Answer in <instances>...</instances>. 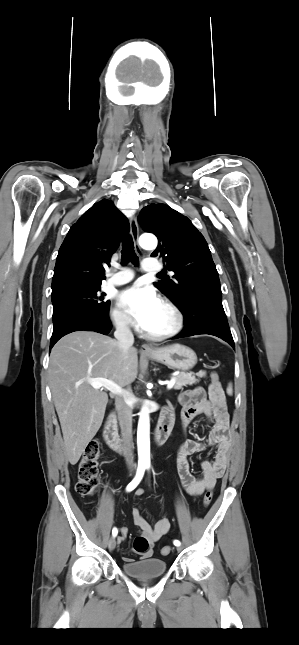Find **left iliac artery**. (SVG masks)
<instances>
[{"mask_svg": "<svg viewBox=\"0 0 299 645\" xmlns=\"http://www.w3.org/2000/svg\"><path fill=\"white\" fill-rule=\"evenodd\" d=\"M147 468H149V466H147ZM173 543H174V545H175V546H179V545H180V541H179V540H174V542H173Z\"/></svg>", "mask_w": 299, "mask_h": 645, "instance_id": "left-iliac-artery-1", "label": "left iliac artery"}]
</instances>
